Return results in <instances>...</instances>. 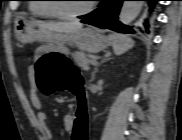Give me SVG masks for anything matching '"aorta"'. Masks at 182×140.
Returning a JSON list of instances; mask_svg holds the SVG:
<instances>
[{"mask_svg":"<svg viewBox=\"0 0 182 140\" xmlns=\"http://www.w3.org/2000/svg\"><path fill=\"white\" fill-rule=\"evenodd\" d=\"M144 1H124L121 12L120 20L124 24H130L140 13Z\"/></svg>","mask_w":182,"mask_h":140,"instance_id":"1","label":"aorta"}]
</instances>
